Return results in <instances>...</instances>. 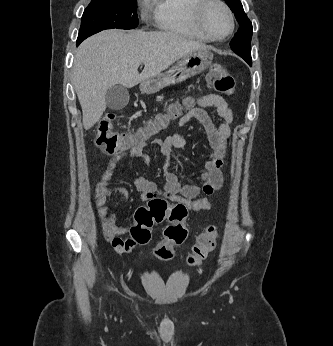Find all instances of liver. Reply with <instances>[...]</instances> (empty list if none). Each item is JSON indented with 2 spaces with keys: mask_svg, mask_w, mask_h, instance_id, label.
Instances as JSON below:
<instances>
[{
  "mask_svg": "<svg viewBox=\"0 0 333 346\" xmlns=\"http://www.w3.org/2000/svg\"><path fill=\"white\" fill-rule=\"evenodd\" d=\"M206 48L172 32L112 29L89 37L77 49L73 65V84L84 129L89 130L103 115L110 87H134L185 55ZM141 64L144 69L139 73Z\"/></svg>",
  "mask_w": 333,
  "mask_h": 346,
  "instance_id": "1",
  "label": "liver"
}]
</instances>
